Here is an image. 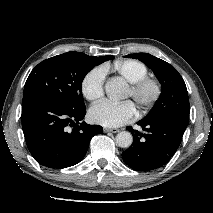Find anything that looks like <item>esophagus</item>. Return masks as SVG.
<instances>
[{"instance_id": "34e87169", "label": "esophagus", "mask_w": 213, "mask_h": 213, "mask_svg": "<svg viewBox=\"0 0 213 213\" xmlns=\"http://www.w3.org/2000/svg\"><path fill=\"white\" fill-rule=\"evenodd\" d=\"M120 130L117 128H104V132H112V133H118Z\"/></svg>"}]
</instances>
